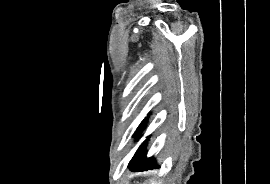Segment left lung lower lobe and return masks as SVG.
Instances as JSON below:
<instances>
[{
  "label": "left lung lower lobe",
  "mask_w": 270,
  "mask_h": 184,
  "mask_svg": "<svg viewBox=\"0 0 270 184\" xmlns=\"http://www.w3.org/2000/svg\"><path fill=\"white\" fill-rule=\"evenodd\" d=\"M146 143L147 140H145L141 144V146L138 148L137 152L135 153L134 157L129 163L131 170L134 172L147 171L150 169L159 168V166L156 163V160L153 157L147 158L145 155H142V153L145 150Z\"/></svg>",
  "instance_id": "left-lung-lower-lobe-1"
}]
</instances>
